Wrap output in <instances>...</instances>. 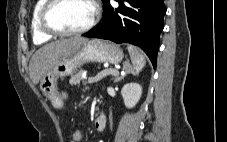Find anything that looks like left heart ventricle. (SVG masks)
<instances>
[{"label":"left heart ventricle","instance_id":"b2bd125f","mask_svg":"<svg viewBox=\"0 0 227 142\" xmlns=\"http://www.w3.org/2000/svg\"><path fill=\"white\" fill-rule=\"evenodd\" d=\"M89 0H63L50 13L53 26L61 30H75L85 26L92 18Z\"/></svg>","mask_w":227,"mask_h":142}]
</instances>
